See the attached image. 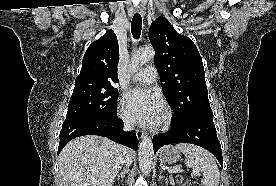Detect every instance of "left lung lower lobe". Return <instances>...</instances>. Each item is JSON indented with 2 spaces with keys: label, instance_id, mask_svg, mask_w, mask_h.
<instances>
[{
  "label": "left lung lower lobe",
  "instance_id": "0a47b994",
  "mask_svg": "<svg viewBox=\"0 0 276 186\" xmlns=\"http://www.w3.org/2000/svg\"><path fill=\"white\" fill-rule=\"evenodd\" d=\"M170 132L153 137L156 152L164 145L172 143H191L210 151L223 167L221 145L213 123V113L201 114L180 122H171Z\"/></svg>",
  "mask_w": 276,
  "mask_h": 186
}]
</instances>
